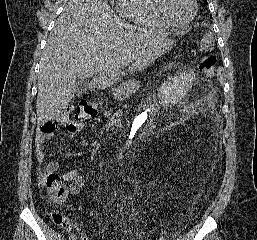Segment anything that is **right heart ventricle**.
Here are the masks:
<instances>
[{
	"mask_svg": "<svg viewBox=\"0 0 257 240\" xmlns=\"http://www.w3.org/2000/svg\"><path fill=\"white\" fill-rule=\"evenodd\" d=\"M120 14L134 24L152 30H166L153 9L152 0H120Z\"/></svg>",
	"mask_w": 257,
	"mask_h": 240,
	"instance_id": "e07e8e85",
	"label": "right heart ventricle"
}]
</instances>
